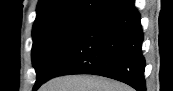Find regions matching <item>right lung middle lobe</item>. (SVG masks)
I'll list each match as a JSON object with an SVG mask.
<instances>
[{
	"label": "right lung middle lobe",
	"instance_id": "right-lung-middle-lobe-1",
	"mask_svg": "<svg viewBox=\"0 0 173 91\" xmlns=\"http://www.w3.org/2000/svg\"><path fill=\"white\" fill-rule=\"evenodd\" d=\"M87 20L72 18L34 25L32 61L37 74L35 86L45 80L53 64Z\"/></svg>",
	"mask_w": 173,
	"mask_h": 91
}]
</instances>
